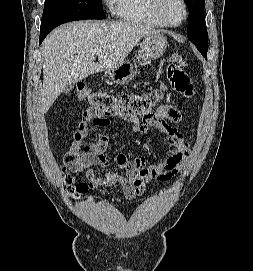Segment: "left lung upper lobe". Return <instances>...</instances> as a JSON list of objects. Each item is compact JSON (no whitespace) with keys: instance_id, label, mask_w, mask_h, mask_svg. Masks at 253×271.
<instances>
[{"instance_id":"1","label":"left lung upper lobe","mask_w":253,"mask_h":271,"mask_svg":"<svg viewBox=\"0 0 253 271\" xmlns=\"http://www.w3.org/2000/svg\"><path fill=\"white\" fill-rule=\"evenodd\" d=\"M190 15L188 39L207 58L208 34L204 15V0H184Z\"/></svg>"}]
</instances>
